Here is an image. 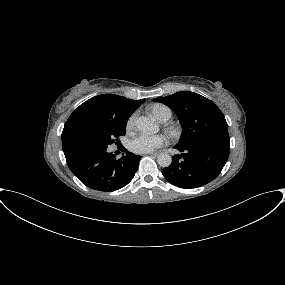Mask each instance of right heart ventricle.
<instances>
[{"instance_id": "1", "label": "right heart ventricle", "mask_w": 285, "mask_h": 285, "mask_svg": "<svg viewBox=\"0 0 285 285\" xmlns=\"http://www.w3.org/2000/svg\"><path fill=\"white\" fill-rule=\"evenodd\" d=\"M151 113L160 121L165 122L172 117V110L163 104H155L150 107Z\"/></svg>"}]
</instances>
